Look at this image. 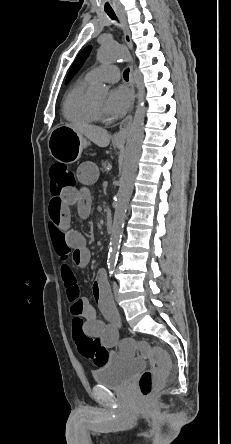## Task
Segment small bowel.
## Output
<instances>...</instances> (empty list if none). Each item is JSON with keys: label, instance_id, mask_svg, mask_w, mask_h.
Instances as JSON below:
<instances>
[{"label": "small bowel", "instance_id": "small-bowel-1", "mask_svg": "<svg viewBox=\"0 0 231 444\" xmlns=\"http://www.w3.org/2000/svg\"><path fill=\"white\" fill-rule=\"evenodd\" d=\"M76 177L82 189L68 188L57 200H50L49 234L56 254L62 262L61 276L70 302V313L83 318V331L88 336L98 339L106 348L114 347L119 340L118 316L113 304L111 292L105 274L100 272L93 283V295L100 309L110 315L104 321L98 318L96 309L87 299L80 297L76 279L70 263L77 267L86 266L91 258L86 239L82 233L70 227V207L74 206L78 214L85 218L90 211L88 186L98 178V170L92 162H83L76 171Z\"/></svg>", "mask_w": 231, "mask_h": 444}]
</instances>
